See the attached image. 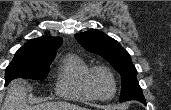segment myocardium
<instances>
[{
  "label": "myocardium",
  "instance_id": "1",
  "mask_svg": "<svg viewBox=\"0 0 171 110\" xmlns=\"http://www.w3.org/2000/svg\"><path fill=\"white\" fill-rule=\"evenodd\" d=\"M98 72H103L110 77V79L113 83V92L110 96L102 97V96L98 95L97 92L95 91L94 86H93V77ZM86 86H87L90 94L92 95V97L94 99L100 100V101H107V100L112 99L116 95V92H117V80L115 78V75L106 66H95V67L90 68L86 75Z\"/></svg>",
  "mask_w": 171,
  "mask_h": 110
}]
</instances>
